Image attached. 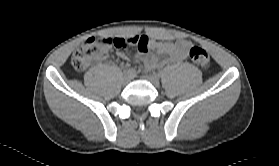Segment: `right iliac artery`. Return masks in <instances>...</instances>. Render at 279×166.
<instances>
[{
    "label": "right iliac artery",
    "mask_w": 279,
    "mask_h": 166,
    "mask_svg": "<svg viewBox=\"0 0 279 166\" xmlns=\"http://www.w3.org/2000/svg\"><path fill=\"white\" fill-rule=\"evenodd\" d=\"M135 73H136V71H135V69H133V68H130V69H128V70L126 71V74L131 75V76H134Z\"/></svg>",
    "instance_id": "1"
}]
</instances>
